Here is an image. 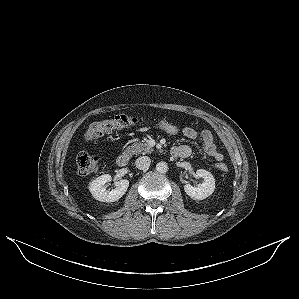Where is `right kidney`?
<instances>
[{
  "instance_id": "right-kidney-1",
  "label": "right kidney",
  "mask_w": 299,
  "mask_h": 299,
  "mask_svg": "<svg viewBox=\"0 0 299 299\" xmlns=\"http://www.w3.org/2000/svg\"><path fill=\"white\" fill-rule=\"evenodd\" d=\"M109 181H111V176L104 174L89 184V190L96 200L101 202L117 201L126 193L129 187V181L127 179H121L115 182V189L107 191L105 184Z\"/></svg>"
}]
</instances>
